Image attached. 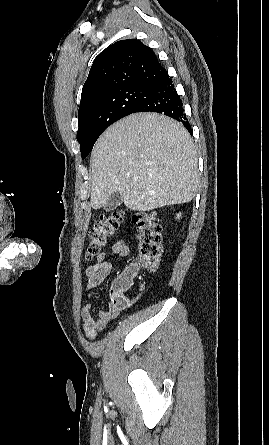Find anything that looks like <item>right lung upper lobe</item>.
Returning <instances> with one entry per match:
<instances>
[{
  "label": "right lung upper lobe",
  "mask_w": 269,
  "mask_h": 445,
  "mask_svg": "<svg viewBox=\"0 0 269 445\" xmlns=\"http://www.w3.org/2000/svg\"><path fill=\"white\" fill-rule=\"evenodd\" d=\"M166 69L153 50L140 40H121L106 48L94 60L82 88L80 107L117 88L153 86Z\"/></svg>",
  "instance_id": "cb5924a9"
}]
</instances>
